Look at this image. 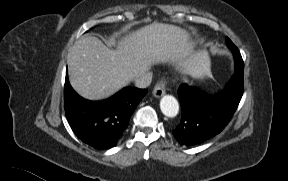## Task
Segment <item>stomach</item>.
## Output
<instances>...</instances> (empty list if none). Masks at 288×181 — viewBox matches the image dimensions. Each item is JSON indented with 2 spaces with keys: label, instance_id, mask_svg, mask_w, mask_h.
Returning a JSON list of instances; mask_svg holds the SVG:
<instances>
[{
  "label": "stomach",
  "instance_id": "0dacf381",
  "mask_svg": "<svg viewBox=\"0 0 288 181\" xmlns=\"http://www.w3.org/2000/svg\"><path fill=\"white\" fill-rule=\"evenodd\" d=\"M197 60L200 63L202 68H208L209 67V57L208 54L205 51L199 52L197 55Z\"/></svg>",
  "mask_w": 288,
  "mask_h": 181
}]
</instances>
